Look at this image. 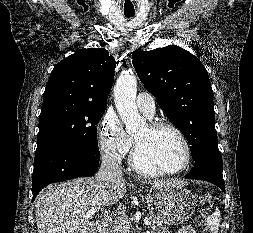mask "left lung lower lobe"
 <instances>
[{"mask_svg":"<svg viewBox=\"0 0 253 233\" xmlns=\"http://www.w3.org/2000/svg\"><path fill=\"white\" fill-rule=\"evenodd\" d=\"M222 170V157L219 158L207 155L195 161L194 167L185 178L209 181L225 192Z\"/></svg>","mask_w":253,"mask_h":233,"instance_id":"1","label":"left lung lower lobe"}]
</instances>
